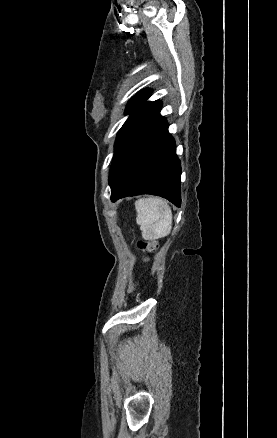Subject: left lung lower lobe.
Wrapping results in <instances>:
<instances>
[{
    "label": "left lung lower lobe",
    "instance_id": "obj_1",
    "mask_svg": "<svg viewBox=\"0 0 277 438\" xmlns=\"http://www.w3.org/2000/svg\"><path fill=\"white\" fill-rule=\"evenodd\" d=\"M161 102H146L133 128L131 144L115 183L111 200L139 194L162 196L180 207L181 165L174 139L160 116Z\"/></svg>",
    "mask_w": 277,
    "mask_h": 438
}]
</instances>
